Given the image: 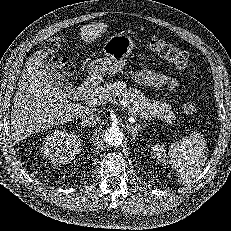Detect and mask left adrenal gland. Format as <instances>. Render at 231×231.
<instances>
[{
	"instance_id": "a2214340",
	"label": "left adrenal gland",
	"mask_w": 231,
	"mask_h": 231,
	"mask_svg": "<svg viewBox=\"0 0 231 231\" xmlns=\"http://www.w3.org/2000/svg\"><path fill=\"white\" fill-rule=\"evenodd\" d=\"M140 121L138 123L134 125H129L127 124V128L131 131L132 133V138L133 140L135 139L136 135H137V131H138V127H139Z\"/></svg>"
}]
</instances>
